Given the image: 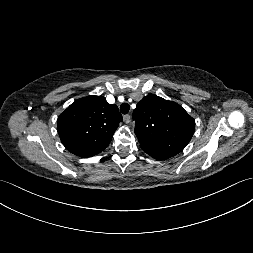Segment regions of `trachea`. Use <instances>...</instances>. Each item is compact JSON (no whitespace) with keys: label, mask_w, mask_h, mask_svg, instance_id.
<instances>
[{"label":"trachea","mask_w":253,"mask_h":253,"mask_svg":"<svg viewBox=\"0 0 253 253\" xmlns=\"http://www.w3.org/2000/svg\"><path fill=\"white\" fill-rule=\"evenodd\" d=\"M129 109H130V106H129L128 103H123V104H121V106H120V112H121L122 114H127V113L129 112Z\"/></svg>","instance_id":"1"}]
</instances>
